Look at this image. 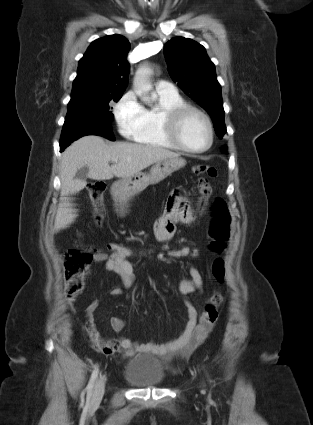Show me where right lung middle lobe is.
I'll return each mask as SVG.
<instances>
[{"label": "right lung middle lobe", "instance_id": "right-lung-middle-lobe-1", "mask_svg": "<svg viewBox=\"0 0 313 425\" xmlns=\"http://www.w3.org/2000/svg\"><path fill=\"white\" fill-rule=\"evenodd\" d=\"M123 93L89 94L71 97L68 103V113L65 121L71 120L74 114H88L101 117L110 122L114 115L111 112V102H118Z\"/></svg>", "mask_w": 313, "mask_h": 425}]
</instances>
